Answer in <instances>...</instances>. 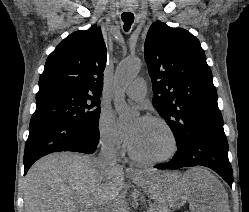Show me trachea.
Instances as JSON below:
<instances>
[{
  "label": "trachea",
  "instance_id": "1",
  "mask_svg": "<svg viewBox=\"0 0 249 212\" xmlns=\"http://www.w3.org/2000/svg\"><path fill=\"white\" fill-rule=\"evenodd\" d=\"M122 21L124 22V30L125 32H128L130 30V27L134 21V15L130 12H124L121 15Z\"/></svg>",
  "mask_w": 249,
  "mask_h": 212
}]
</instances>
